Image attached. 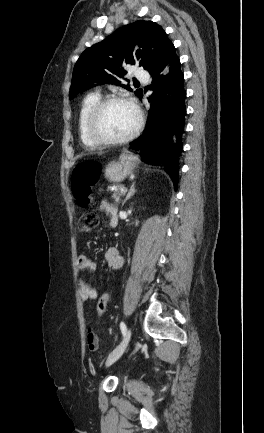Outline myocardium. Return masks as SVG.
Listing matches in <instances>:
<instances>
[{
  "instance_id": "myocardium-1",
  "label": "myocardium",
  "mask_w": 264,
  "mask_h": 433,
  "mask_svg": "<svg viewBox=\"0 0 264 433\" xmlns=\"http://www.w3.org/2000/svg\"><path fill=\"white\" fill-rule=\"evenodd\" d=\"M125 103L132 107L136 113V124L134 128L125 136L120 138H110L102 135L98 130V123L103 111L111 104ZM143 125V116L139 107L128 97L110 96L101 99L90 111L86 121V131L90 139L96 145H121L134 139L140 132Z\"/></svg>"
}]
</instances>
